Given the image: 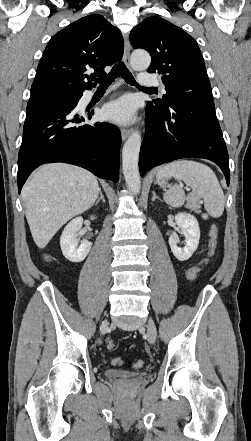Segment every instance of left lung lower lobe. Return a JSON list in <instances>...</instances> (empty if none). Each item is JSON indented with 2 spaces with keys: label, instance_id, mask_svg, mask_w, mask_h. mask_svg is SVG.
I'll return each mask as SVG.
<instances>
[{
  "label": "left lung lower lobe",
  "instance_id": "1",
  "mask_svg": "<svg viewBox=\"0 0 251 441\" xmlns=\"http://www.w3.org/2000/svg\"><path fill=\"white\" fill-rule=\"evenodd\" d=\"M146 133L139 156L140 174L180 158L216 163L230 181L229 158L211 98L194 97L166 108L147 103Z\"/></svg>",
  "mask_w": 251,
  "mask_h": 441
}]
</instances>
